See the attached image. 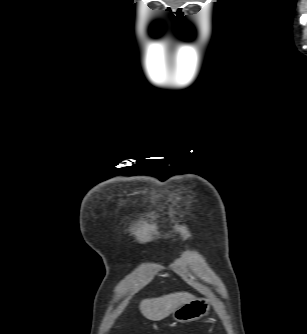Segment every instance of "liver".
Masks as SVG:
<instances>
[{"label":"liver","mask_w":307,"mask_h":334,"mask_svg":"<svg viewBox=\"0 0 307 334\" xmlns=\"http://www.w3.org/2000/svg\"><path fill=\"white\" fill-rule=\"evenodd\" d=\"M195 299L187 292H177L158 298L144 299L140 303V311L144 317L152 321H160L169 316L181 305Z\"/></svg>","instance_id":"1"}]
</instances>
